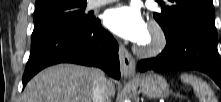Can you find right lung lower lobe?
I'll use <instances>...</instances> for the list:
<instances>
[{"instance_id": "right-lung-lower-lobe-1", "label": "right lung lower lobe", "mask_w": 221, "mask_h": 102, "mask_svg": "<svg viewBox=\"0 0 221 102\" xmlns=\"http://www.w3.org/2000/svg\"><path fill=\"white\" fill-rule=\"evenodd\" d=\"M64 62L97 66L113 78L120 77L118 43L96 18L84 25L59 28L32 44L23 87L43 68Z\"/></svg>"}]
</instances>
